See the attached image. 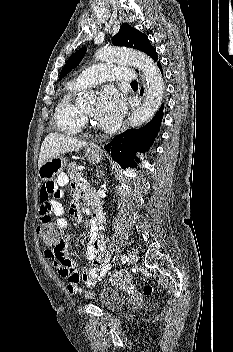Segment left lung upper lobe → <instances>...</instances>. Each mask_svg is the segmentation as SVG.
<instances>
[{
    "instance_id": "left-lung-upper-lobe-1",
    "label": "left lung upper lobe",
    "mask_w": 233,
    "mask_h": 352,
    "mask_svg": "<svg viewBox=\"0 0 233 352\" xmlns=\"http://www.w3.org/2000/svg\"><path fill=\"white\" fill-rule=\"evenodd\" d=\"M112 43L116 46H125L138 49L149 55L155 62L158 60L156 50L150 44L147 36L129 24L123 23L120 26L119 32L112 38ZM86 53V48L76 51L66 62L61 73V80L68 72L74 69Z\"/></svg>"
}]
</instances>
